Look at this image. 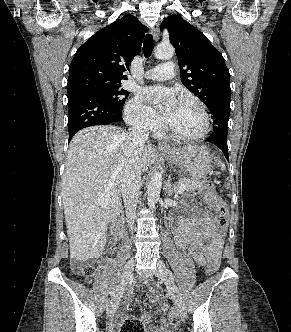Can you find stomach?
<instances>
[{
	"instance_id": "stomach-1",
	"label": "stomach",
	"mask_w": 291,
	"mask_h": 332,
	"mask_svg": "<svg viewBox=\"0 0 291 332\" xmlns=\"http://www.w3.org/2000/svg\"><path fill=\"white\" fill-rule=\"evenodd\" d=\"M163 153L171 165L180 168L193 178H203L211 169L212 156L202 146L190 144L182 147L168 146Z\"/></svg>"
}]
</instances>
